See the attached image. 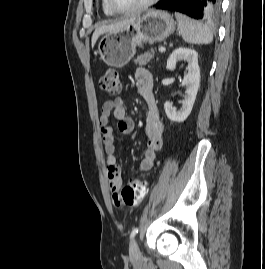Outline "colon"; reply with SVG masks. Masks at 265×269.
Instances as JSON below:
<instances>
[{
  "mask_svg": "<svg viewBox=\"0 0 265 269\" xmlns=\"http://www.w3.org/2000/svg\"><path fill=\"white\" fill-rule=\"evenodd\" d=\"M101 91L110 96L118 95L120 91L119 73L114 69L108 70L100 79ZM146 194V184L141 180H133L125 185L118 195L119 205L134 206L140 203Z\"/></svg>",
  "mask_w": 265,
  "mask_h": 269,
  "instance_id": "1",
  "label": "colon"
}]
</instances>
